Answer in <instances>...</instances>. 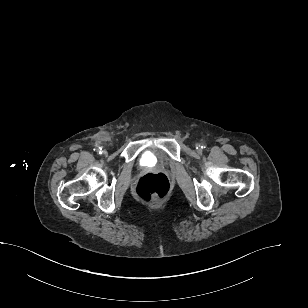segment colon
I'll return each instance as SVG.
<instances>
[{
  "label": "colon",
  "mask_w": 308,
  "mask_h": 308,
  "mask_svg": "<svg viewBox=\"0 0 308 308\" xmlns=\"http://www.w3.org/2000/svg\"><path fill=\"white\" fill-rule=\"evenodd\" d=\"M170 192V182L162 174H146L141 177L135 187L136 196L146 203H157L167 197Z\"/></svg>",
  "instance_id": "5ec220e1"
}]
</instances>
